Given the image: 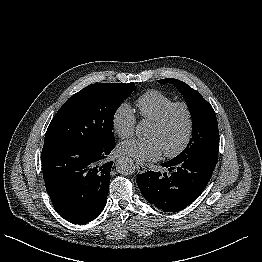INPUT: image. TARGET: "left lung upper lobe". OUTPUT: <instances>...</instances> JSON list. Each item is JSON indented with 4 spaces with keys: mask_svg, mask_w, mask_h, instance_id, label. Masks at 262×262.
I'll list each match as a JSON object with an SVG mask.
<instances>
[{
    "mask_svg": "<svg viewBox=\"0 0 262 262\" xmlns=\"http://www.w3.org/2000/svg\"><path fill=\"white\" fill-rule=\"evenodd\" d=\"M159 83H171L184 96L193 121L192 138L188 146L175 158L187 157H216L218 156L219 131L215 112L212 106L201 96V94L189 87L186 83L166 78Z\"/></svg>",
    "mask_w": 262,
    "mask_h": 262,
    "instance_id": "left-lung-upper-lobe-1",
    "label": "left lung upper lobe"
}]
</instances>
